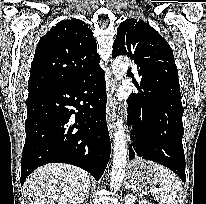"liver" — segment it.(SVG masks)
<instances>
[{
  "label": "liver",
  "instance_id": "1",
  "mask_svg": "<svg viewBox=\"0 0 206 204\" xmlns=\"http://www.w3.org/2000/svg\"><path fill=\"white\" fill-rule=\"evenodd\" d=\"M89 186L90 175L85 170L51 163L32 172L23 189L27 204H81Z\"/></svg>",
  "mask_w": 206,
  "mask_h": 204
}]
</instances>
